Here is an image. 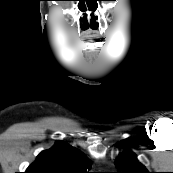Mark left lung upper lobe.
Returning a JSON list of instances; mask_svg holds the SVG:
<instances>
[{
  "mask_svg": "<svg viewBox=\"0 0 173 173\" xmlns=\"http://www.w3.org/2000/svg\"><path fill=\"white\" fill-rule=\"evenodd\" d=\"M115 165L122 170L119 173H149L145 166L138 162L136 155L129 149L119 155Z\"/></svg>",
  "mask_w": 173,
  "mask_h": 173,
  "instance_id": "left-lung-upper-lobe-1",
  "label": "left lung upper lobe"
}]
</instances>
